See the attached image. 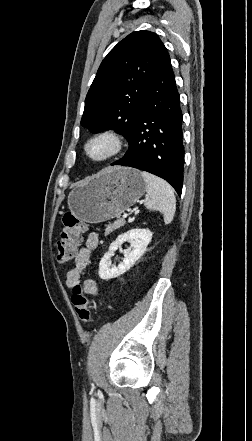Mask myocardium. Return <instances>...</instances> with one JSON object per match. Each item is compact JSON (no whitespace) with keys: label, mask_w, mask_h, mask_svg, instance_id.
I'll use <instances>...</instances> for the list:
<instances>
[{"label":"myocardium","mask_w":252,"mask_h":441,"mask_svg":"<svg viewBox=\"0 0 252 441\" xmlns=\"http://www.w3.org/2000/svg\"><path fill=\"white\" fill-rule=\"evenodd\" d=\"M100 140H105L110 144L109 151L101 157H93L89 152V147L92 143ZM123 136L114 129H103L93 134L84 145L85 156L96 163L108 162L117 157L124 149Z\"/></svg>","instance_id":"myocardium-1"}]
</instances>
